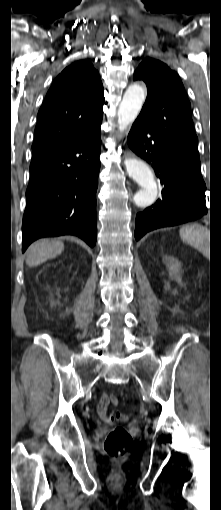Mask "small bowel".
<instances>
[{"mask_svg": "<svg viewBox=\"0 0 221 510\" xmlns=\"http://www.w3.org/2000/svg\"><path fill=\"white\" fill-rule=\"evenodd\" d=\"M113 395L104 394L96 404V411L98 415L106 422H111L109 413L110 399Z\"/></svg>", "mask_w": 221, "mask_h": 510, "instance_id": "c3829d8e", "label": "small bowel"}]
</instances>
